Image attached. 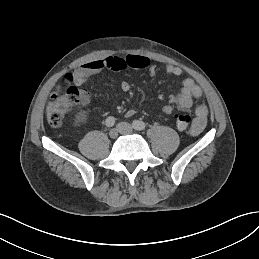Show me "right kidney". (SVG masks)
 <instances>
[{
	"label": "right kidney",
	"mask_w": 259,
	"mask_h": 259,
	"mask_svg": "<svg viewBox=\"0 0 259 259\" xmlns=\"http://www.w3.org/2000/svg\"><path fill=\"white\" fill-rule=\"evenodd\" d=\"M74 121L76 125H82L87 123V112L79 111L74 115Z\"/></svg>",
	"instance_id": "1"
}]
</instances>
